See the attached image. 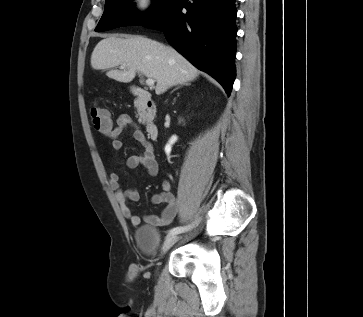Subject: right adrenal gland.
<instances>
[{"label":"right adrenal gland","mask_w":363,"mask_h":317,"mask_svg":"<svg viewBox=\"0 0 363 317\" xmlns=\"http://www.w3.org/2000/svg\"><path fill=\"white\" fill-rule=\"evenodd\" d=\"M183 85H186V86H189L190 85V83H182L181 85H179V86H177L175 89H173V91H175V90H177L178 88H180L181 86H183ZM172 91V92H173ZM171 92V93H172Z\"/></svg>","instance_id":"right-adrenal-gland-1"}]
</instances>
